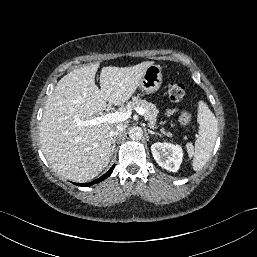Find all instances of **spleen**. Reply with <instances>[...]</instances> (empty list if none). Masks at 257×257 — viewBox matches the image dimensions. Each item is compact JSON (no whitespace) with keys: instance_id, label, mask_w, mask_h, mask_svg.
Masks as SVG:
<instances>
[{"instance_id":"spleen-1","label":"spleen","mask_w":257,"mask_h":257,"mask_svg":"<svg viewBox=\"0 0 257 257\" xmlns=\"http://www.w3.org/2000/svg\"><path fill=\"white\" fill-rule=\"evenodd\" d=\"M197 120L199 123V135L195 146L191 143L186 145L189 156L193 157L192 166L195 171L200 170L208 161L218 133L217 119L203 100L198 102Z\"/></svg>"}]
</instances>
